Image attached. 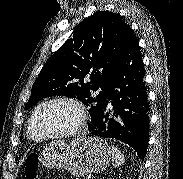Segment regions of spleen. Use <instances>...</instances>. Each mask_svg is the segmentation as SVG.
<instances>
[{
	"label": "spleen",
	"mask_w": 183,
	"mask_h": 179,
	"mask_svg": "<svg viewBox=\"0 0 183 179\" xmlns=\"http://www.w3.org/2000/svg\"><path fill=\"white\" fill-rule=\"evenodd\" d=\"M110 149L112 155V164L114 167H119L121 164L124 163V155L114 146H112Z\"/></svg>",
	"instance_id": "3e777b00"
}]
</instances>
